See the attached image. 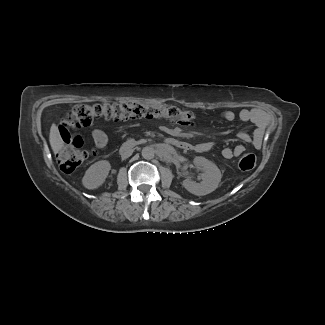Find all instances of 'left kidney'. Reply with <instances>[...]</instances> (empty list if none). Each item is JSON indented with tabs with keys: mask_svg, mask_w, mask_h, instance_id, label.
I'll list each match as a JSON object with an SVG mask.
<instances>
[{
	"mask_svg": "<svg viewBox=\"0 0 325 325\" xmlns=\"http://www.w3.org/2000/svg\"><path fill=\"white\" fill-rule=\"evenodd\" d=\"M193 163L204 169V173L201 174L202 181L197 183L187 178L182 183L183 187L197 196H204L215 191L222 178L221 170L216 164L202 156H196Z\"/></svg>",
	"mask_w": 325,
	"mask_h": 325,
	"instance_id": "5707ae66",
	"label": "left kidney"
}]
</instances>
